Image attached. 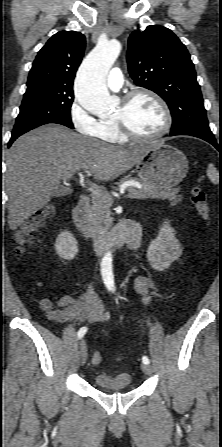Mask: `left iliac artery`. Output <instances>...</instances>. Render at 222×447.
<instances>
[{"label": "left iliac artery", "mask_w": 222, "mask_h": 447, "mask_svg": "<svg viewBox=\"0 0 222 447\" xmlns=\"http://www.w3.org/2000/svg\"><path fill=\"white\" fill-rule=\"evenodd\" d=\"M142 362L145 363V364H149L150 361H149L147 356H143L142 357Z\"/></svg>", "instance_id": "obj_1"}]
</instances>
